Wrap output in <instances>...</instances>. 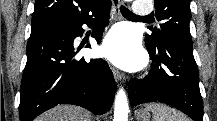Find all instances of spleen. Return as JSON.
Segmentation results:
<instances>
[{
  "mask_svg": "<svg viewBox=\"0 0 217 121\" xmlns=\"http://www.w3.org/2000/svg\"><path fill=\"white\" fill-rule=\"evenodd\" d=\"M146 108L153 113V121H188L184 114L164 104H149Z\"/></svg>",
  "mask_w": 217,
  "mask_h": 121,
  "instance_id": "obj_1",
  "label": "spleen"
}]
</instances>
